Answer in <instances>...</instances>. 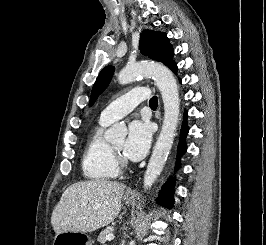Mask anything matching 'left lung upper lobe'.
Masks as SVG:
<instances>
[{
	"label": "left lung upper lobe",
	"instance_id": "obj_1",
	"mask_svg": "<svg viewBox=\"0 0 266 245\" xmlns=\"http://www.w3.org/2000/svg\"><path fill=\"white\" fill-rule=\"evenodd\" d=\"M139 48L141 53L150 59L160 61L169 68L175 64L172 60L174 50L169 43L166 33L160 31L144 30L140 36ZM114 72L113 66H107L100 72L91 92L89 105L91 106L97 96L108 86Z\"/></svg>",
	"mask_w": 266,
	"mask_h": 245
}]
</instances>
